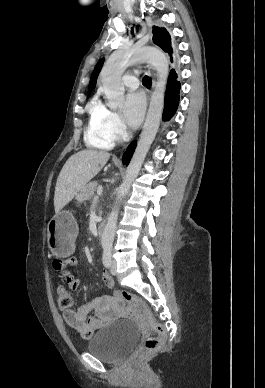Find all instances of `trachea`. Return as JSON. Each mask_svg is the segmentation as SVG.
I'll list each match as a JSON object with an SVG mask.
<instances>
[{
    "label": "trachea",
    "mask_w": 265,
    "mask_h": 388,
    "mask_svg": "<svg viewBox=\"0 0 265 388\" xmlns=\"http://www.w3.org/2000/svg\"><path fill=\"white\" fill-rule=\"evenodd\" d=\"M143 82H144V84L150 85L151 84V79L149 77L145 76L144 79H143Z\"/></svg>",
    "instance_id": "1"
}]
</instances>
